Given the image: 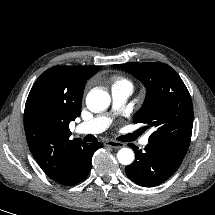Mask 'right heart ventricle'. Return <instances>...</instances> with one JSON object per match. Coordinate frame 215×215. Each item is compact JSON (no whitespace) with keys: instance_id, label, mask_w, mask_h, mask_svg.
<instances>
[{"instance_id":"e07e8e85","label":"right heart ventricle","mask_w":215,"mask_h":215,"mask_svg":"<svg viewBox=\"0 0 215 215\" xmlns=\"http://www.w3.org/2000/svg\"><path fill=\"white\" fill-rule=\"evenodd\" d=\"M118 86H130V87H132V83L128 79H126L122 76L112 77V88L118 87Z\"/></svg>"}]
</instances>
